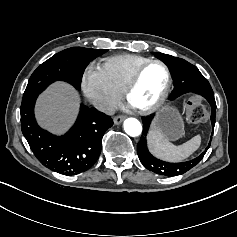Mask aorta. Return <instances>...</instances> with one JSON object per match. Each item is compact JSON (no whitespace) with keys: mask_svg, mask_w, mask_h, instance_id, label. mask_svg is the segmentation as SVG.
<instances>
[{"mask_svg":"<svg viewBox=\"0 0 237 237\" xmlns=\"http://www.w3.org/2000/svg\"><path fill=\"white\" fill-rule=\"evenodd\" d=\"M124 130L131 137H138L142 134V125L135 118H128L124 122Z\"/></svg>","mask_w":237,"mask_h":237,"instance_id":"obj_1","label":"aorta"}]
</instances>
